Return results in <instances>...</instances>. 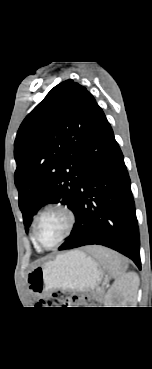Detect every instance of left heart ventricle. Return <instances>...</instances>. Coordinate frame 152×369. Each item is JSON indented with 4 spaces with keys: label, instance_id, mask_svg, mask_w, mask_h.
I'll return each mask as SVG.
<instances>
[{
    "label": "left heart ventricle",
    "instance_id": "left-heart-ventricle-1",
    "mask_svg": "<svg viewBox=\"0 0 152 369\" xmlns=\"http://www.w3.org/2000/svg\"><path fill=\"white\" fill-rule=\"evenodd\" d=\"M65 228V216L59 211H50L40 220L38 238L44 246H50L62 236Z\"/></svg>",
    "mask_w": 152,
    "mask_h": 369
}]
</instances>
